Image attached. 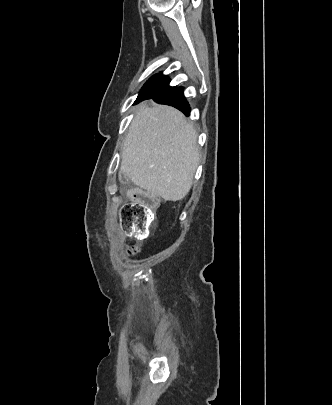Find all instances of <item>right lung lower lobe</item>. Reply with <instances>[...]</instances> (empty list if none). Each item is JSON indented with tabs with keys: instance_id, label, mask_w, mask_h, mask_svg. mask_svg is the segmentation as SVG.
<instances>
[{
	"instance_id": "right-lung-lower-lobe-1",
	"label": "right lung lower lobe",
	"mask_w": 332,
	"mask_h": 405,
	"mask_svg": "<svg viewBox=\"0 0 332 405\" xmlns=\"http://www.w3.org/2000/svg\"><path fill=\"white\" fill-rule=\"evenodd\" d=\"M150 98H153L157 103L171 105L182 111L186 116L190 115V107L184 97L182 87H174L160 93H140L135 103Z\"/></svg>"
}]
</instances>
